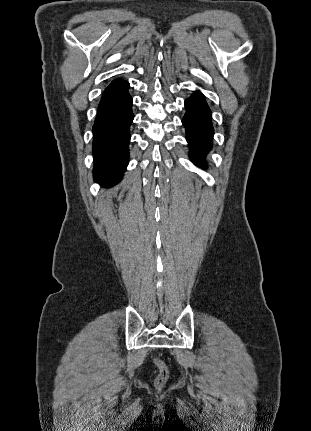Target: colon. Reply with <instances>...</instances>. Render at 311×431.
Listing matches in <instances>:
<instances>
[{
  "label": "colon",
  "instance_id": "colon-1",
  "mask_svg": "<svg viewBox=\"0 0 311 431\" xmlns=\"http://www.w3.org/2000/svg\"><path fill=\"white\" fill-rule=\"evenodd\" d=\"M154 365L158 369V375L156 378L157 385H162L166 382L168 378V368L163 360L160 358H154Z\"/></svg>",
  "mask_w": 311,
  "mask_h": 431
}]
</instances>
